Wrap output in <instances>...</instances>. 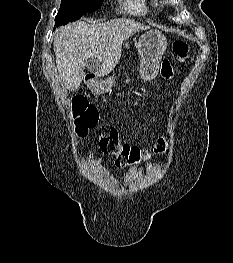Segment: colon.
<instances>
[{
	"mask_svg": "<svg viewBox=\"0 0 233 263\" xmlns=\"http://www.w3.org/2000/svg\"><path fill=\"white\" fill-rule=\"evenodd\" d=\"M173 51L179 62L185 61L188 56L189 46L182 40H177L173 44ZM73 117L77 125V131L80 136H86L93 130L98 135L100 149L116 158L118 166H127L129 164L139 163L143 160L146 151L126 143H121L117 130L109 125H98V111L83 98H77L73 101ZM165 140H158L154 149L155 153L161 154L165 150Z\"/></svg>",
	"mask_w": 233,
	"mask_h": 263,
	"instance_id": "colon-1",
	"label": "colon"
}]
</instances>
